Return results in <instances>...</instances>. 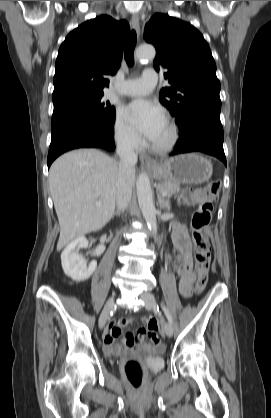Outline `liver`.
<instances>
[{
	"mask_svg": "<svg viewBox=\"0 0 271 418\" xmlns=\"http://www.w3.org/2000/svg\"><path fill=\"white\" fill-rule=\"evenodd\" d=\"M118 174V162L96 149L74 150L54 161L49 186L60 225L58 251L109 222L115 211ZM134 177L135 170L132 186Z\"/></svg>",
	"mask_w": 271,
	"mask_h": 418,
	"instance_id": "obj_1",
	"label": "liver"
}]
</instances>
